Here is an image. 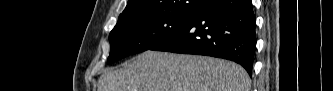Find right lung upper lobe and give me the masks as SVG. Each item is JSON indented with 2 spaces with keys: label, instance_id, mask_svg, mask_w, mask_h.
I'll return each instance as SVG.
<instances>
[{
  "label": "right lung upper lobe",
  "instance_id": "1",
  "mask_svg": "<svg viewBox=\"0 0 333 91\" xmlns=\"http://www.w3.org/2000/svg\"><path fill=\"white\" fill-rule=\"evenodd\" d=\"M204 0H129L116 25L157 14H197Z\"/></svg>",
  "mask_w": 333,
  "mask_h": 91
}]
</instances>
